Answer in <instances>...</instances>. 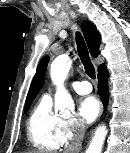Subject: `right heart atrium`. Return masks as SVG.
I'll use <instances>...</instances> for the list:
<instances>
[{"instance_id": "d8ad5b80", "label": "right heart atrium", "mask_w": 130, "mask_h": 153, "mask_svg": "<svg viewBox=\"0 0 130 153\" xmlns=\"http://www.w3.org/2000/svg\"><path fill=\"white\" fill-rule=\"evenodd\" d=\"M83 131L84 124L80 120L76 118L63 120L60 130L61 144H66L76 139L83 133Z\"/></svg>"}]
</instances>
